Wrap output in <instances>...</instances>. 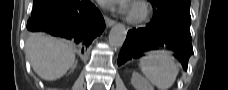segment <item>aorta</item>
<instances>
[{
    "instance_id": "aorta-1",
    "label": "aorta",
    "mask_w": 228,
    "mask_h": 90,
    "mask_svg": "<svg viewBox=\"0 0 228 90\" xmlns=\"http://www.w3.org/2000/svg\"><path fill=\"white\" fill-rule=\"evenodd\" d=\"M127 30L123 24H116L109 33V44L112 47L120 48L124 44Z\"/></svg>"
}]
</instances>
